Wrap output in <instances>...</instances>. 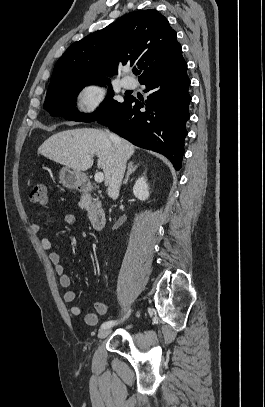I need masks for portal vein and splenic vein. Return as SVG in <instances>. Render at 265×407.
Returning a JSON list of instances; mask_svg holds the SVG:
<instances>
[{
  "label": "portal vein and splenic vein",
  "mask_w": 265,
  "mask_h": 407,
  "mask_svg": "<svg viewBox=\"0 0 265 407\" xmlns=\"http://www.w3.org/2000/svg\"><path fill=\"white\" fill-rule=\"evenodd\" d=\"M94 179L97 183H101L104 180V174L102 172H97Z\"/></svg>",
  "instance_id": "portal-vein-and-splenic-vein-1"
}]
</instances>
